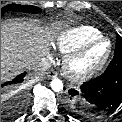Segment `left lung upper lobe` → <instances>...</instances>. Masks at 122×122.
Segmentation results:
<instances>
[{
  "label": "left lung upper lobe",
  "mask_w": 122,
  "mask_h": 122,
  "mask_svg": "<svg viewBox=\"0 0 122 122\" xmlns=\"http://www.w3.org/2000/svg\"><path fill=\"white\" fill-rule=\"evenodd\" d=\"M114 57H122V37L120 35L116 36Z\"/></svg>",
  "instance_id": "1"
}]
</instances>
